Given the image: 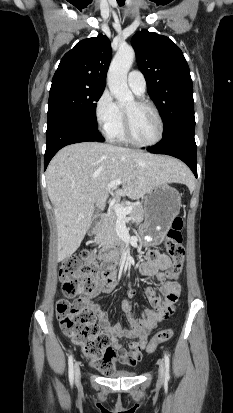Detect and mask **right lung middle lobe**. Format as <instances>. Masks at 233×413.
<instances>
[{"instance_id":"obj_1","label":"right lung middle lobe","mask_w":233,"mask_h":413,"mask_svg":"<svg viewBox=\"0 0 233 413\" xmlns=\"http://www.w3.org/2000/svg\"><path fill=\"white\" fill-rule=\"evenodd\" d=\"M104 88L77 82L51 85L48 101V121L68 117L97 128L96 102Z\"/></svg>"}]
</instances>
